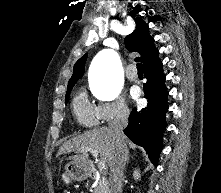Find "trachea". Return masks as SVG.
<instances>
[{"label": "trachea", "instance_id": "1", "mask_svg": "<svg viewBox=\"0 0 221 193\" xmlns=\"http://www.w3.org/2000/svg\"><path fill=\"white\" fill-rule=\"evenodd\" d=\"M137 70H138V73H143V67L141 63H137Z\"/></svg>", "mask_w": 221, "mask_h": 193}]
</instances>
